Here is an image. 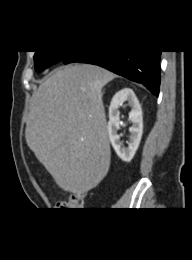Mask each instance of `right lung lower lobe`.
Returning <instances> with one entry per match:
<instances>
[{
    "instance_id": "1",
    "label": "right lung lower lobe",
    "mask_w": 192,
    "mask_h": 260,
    "mask_svg": "<svg viewBox=\"0 0 192 260\" xmlns=\"http://www.w3.org/2000/svg\"><path fill=\"white\" fill-rule=\"evenodd\" d=\"M161 51H115L86 50L70 52L62 62H82L104 67L129 80L143 84L158 96L160 86Z\"/></svg>"
}]
</instances>
